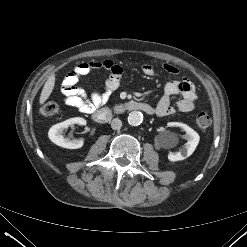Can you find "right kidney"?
Segmentation results:
<instances>
[{"label": "right kidney", "mask_w": 247, "mask_h": 247, "mask_svg": "<svg viewBox=\"0 0 247 247\" xmlns=\"http://www.w3.org/2000/svg\"><path fill=\"white\" fill-rule=\"evenodd\" d=\"M75 124L86 125V120L81 117L70 118L61 123L53 125L48 132L49 139L56 145L67 149H78L83 146V140L72 139L63 136L65 128Z\"/></svg>", "instance_id": "ca27d5eb"}]
</instances>
